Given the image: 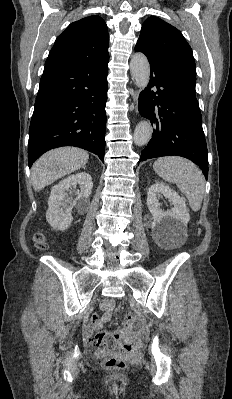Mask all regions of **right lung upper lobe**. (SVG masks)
<instances>
[{
  "label": "right lung upper lobe",
  "mask_w": 232,
  "mask_h": 399,
  "mask_svg": "<svg viewBox=\"0 0 232 399\" xmlns=\"http://www.w3.org/2000/svg\"><path fill=\"white\" fill-rule=\"evenodd\" d=\"M106 23L96 15L71 23L58 36L45 62L48 65H75L109 58Z\"/></svg>",
  "instance_id": "right-lung-upper-lobe-1"
}]
</instances>
